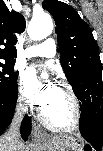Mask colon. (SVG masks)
<instances>
[{
    "label": "colon",
    "instance_id": "1",
    "mask_svg": "<svg viewBox=\"0 0 103 151\" xmlns=\"http://www.w3.org/2000/svg\"><path fill=\"white\" fill-rule=\"evenodd\" d=\"M85 151H91V149L90 148H85Z\"/></svg>",
    "mask_w": 103,
    "mask_h": 151
}]
</instances>
